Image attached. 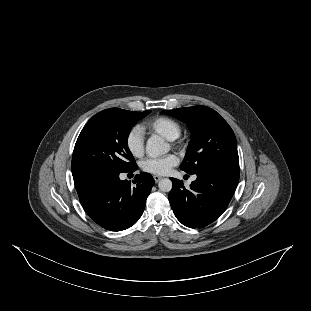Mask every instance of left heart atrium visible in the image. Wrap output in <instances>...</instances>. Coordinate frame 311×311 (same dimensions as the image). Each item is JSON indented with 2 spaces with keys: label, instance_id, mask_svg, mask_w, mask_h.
Listing matches in <instances>:
<instances>
[{
  "label": "left heart atrium",
  "instance_id": "39dd6f15",
  "mask_svg": "<svg viewBox=\"0 0 311 311\" xmlns=\"http://www.w3.org/2000/svg\"><path fill=\"white\" fill-rule=\"evenodd\" d=\"M179 163V157L174 153H169L166 156L158 158H148L141 162V170L154 176H166L171 169Z\"/></svg>",
  "mask_w": 311,
  "mask_h": 311
}]
</instances>
